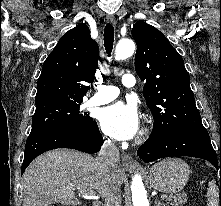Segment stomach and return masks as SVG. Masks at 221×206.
<instances>
[{"mask_svg":"<svg viewBox=\"0 0 221 206\" xmlns=\"http://www.w3.org/2000/svg\"><path fill=\"white\" fill-rule=\"evenodd\" d=\"M190 169L179 158L165 159L151 167L148 180L158 191L173 194L181 191L189 179Z\"/></svg>","mask_w":221,"mask_h":206,"instance_id":"stomach-1","label":"stomach"}]
</instances>
